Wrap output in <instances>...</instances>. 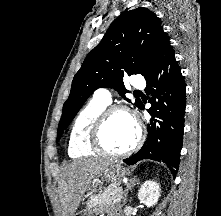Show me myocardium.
I'll return each mask as SVG.
<instances>
[{"instance_id": "myocardium-1", "label": "myocardium", "mask_w": 221, "mask_h": 216, "mask_svg": "<svg viewBox=\"0 0 221 216\" xmlns=\"http://www.w3.org/2000/svg\"><path fill=\"white\" fill-rule=\"evenodd\" d=\"M119 112L125 113L131 118L137 130V137L133 144L127 149L122 151H111L104 146L102 142V133L110 117ZM143 139L144 129L141 121L135 114H133V112L128 107L122 105H114L102 111V113L92 123L88 134L89 146L94 151L110 157H124L130 155L140 147V145L143 142Z\"/></svg>"}]
</instances>
